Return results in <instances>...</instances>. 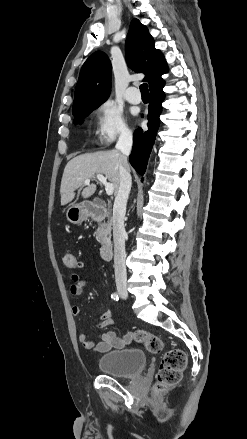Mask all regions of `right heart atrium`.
Returning <instances> with one entry per match:
<instances>
[{
  "label": "right heart atrium",
  "instance_id": "1",
  "mask_svg": "<svg viewBox=\"0 0 247 439\" xmlns=\"http://www.w3.org/2000/svg\"><path fill=\"white\" fill-rule=\"evenodd\" d=\"M96 114V142L109 146L119 138H128L131 131L120 110L110 101L101 103Z\"/></svg>",
  "mask_w": 247,
  "mask_h": 439
}]
</instances>
